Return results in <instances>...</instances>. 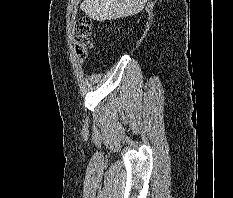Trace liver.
<instances>
[{
    "label": "liver",
    "mask_w": 233,
    "mask_h": 198,
    "mask_svg": "<svg viewBox=\"0 0 233 198\" xmlns=\"http://www.w3.org/2000/svg\"><path fill=\"white\" fill-rule=\"evenodd\" d=\"M147 0H83L81 10L96 21L128 17L141 12Z\"/></svg>",
    "instance_id": "6515ba94"
}]
</instances>
